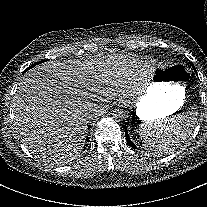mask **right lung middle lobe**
<instances>
[{"label": "right lung middle lobe", "mask_w": 207, "mask_h": 207, "mask_svg": "<svg viewBox=\"0 0 207 207\" xmlns=\"http://www.w3.org/2000/svg\"><path fill=\"white\" fill-rule=\"evenodd\" d=\"M42 62H44V61H40V62H37V63L31 65L27 70L31 69L32 67H34V66H36V65H38V64H40V63H42ZM27 70H26V71H27Z\"/></svg>", "instance_id": "dd1d6c3e"}]
</instances>
